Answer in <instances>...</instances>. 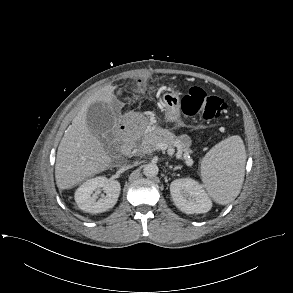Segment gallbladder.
Masks as SVG:
<instances>
[{
	"mask_svg": "<svg viewBox=\"0 0 293 293\" xmlns=\"http://www.w3.org/2000/svg\"><path fill=\"white\" fill-rule=\"evenodd\" d=\"M115 123V114L104 102L92 103L87 110V125L95 135L109 136Z\"/></svg>",
	"mask_w": 293,
	"mask_h": 293,
	"instance_id": "obj_1",
	"label": "gallbladder"
}]
</instances>
